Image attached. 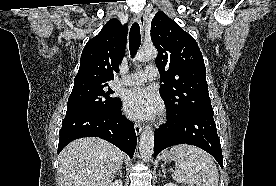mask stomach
Returning <instances> with one entry per match:
<instances>
[{
	"mask_svg": "<svg viewBox=\"0 0 276 186\" xmlns=\"http://www.w3.org/2000/svg\"><path fill=\"white\" fill-rule=\"evenodd\" d=\"M163 161H172L174 160V156L170 153V151H165L162 153Z\"/></svg>",
	"mask_w": 276,
	"mask_h": 186,
	"instance_id": "0dacf381",
	"label": "stomach"
}]
</instances>
